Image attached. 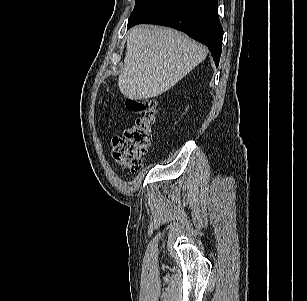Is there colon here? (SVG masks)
<instances>
[{"mask_svg":"<svg viewBox=\"0 0 307 301\" xmlns=\"http://www.w3.org/2000/svg\"><path fill=\"white\" fill-rule=\"evenodd\" d=\"M126 105L138 117L113 139L112 153L114 159L124 169L137 172L141 169L142 159L150 145L152 125L157 113V101L128 98Z\"/></svg>","mask_w":307,"mask_h":301,"instance_id":"5ec220e1","label":"colon"}]
</instances>
